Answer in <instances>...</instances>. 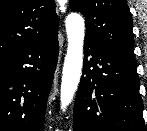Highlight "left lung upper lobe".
Instances as JSON below:
<instances>
[{
  "mask_svg": "<svg viewBox=\"0 0 147 131\" xmlns=\"http://www.w3.org/2000/svg\"><path fill=\"white\" fill-rule=\"evenodd\" d=\"M70 8L86 20L85 40L136 62L132 17L126 0H70Z\"/></svg>",
  "mask_w": 147,
  "mask_h": 131,
  "instance_id": "left-lung-upper-lobe-1",
  "label": "left lung upper lobe"
}]
</instances>
